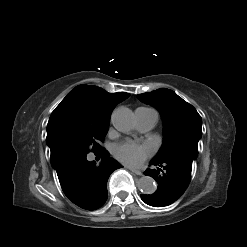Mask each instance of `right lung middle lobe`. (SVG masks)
Instances as JSON below:
<instances>
[{
    "label": "right lung middle lobe",
    "mask_w": 247,
    "mask_h": 247,
    "mask_svg": "<svg viewBox=\"0 0 247 247\" xmlns=\"http://www.w3.org/2000/svg\"><path fill=\"white\" fill-rule=\"evenodd\" d=\"M110 120L83 113L73 104L58 106L47 125L46 142L52 149H66L87 154L92 148H104L98 142L106 136Z\"/></svg>",
    "instance_id": "obj_1"
}]
</instances>
